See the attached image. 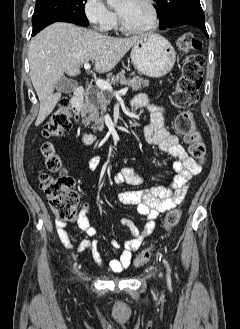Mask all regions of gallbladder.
I'll return each mask as SVG.
<instances>
[{"label": "gallbladder", "mask_w": 240, "mask_h": 329, "mask_svg": "<svg viewBox=\"0 0 240 329\" xmlns=\"http://www.w3.org/2000/svg\"><path fill=\"white\" fill-rule=\"evenodd\" d=\"M78 83L75 80L61 78L55 85V89L61 93H71L76 90Z\"/></svg>", "instance_id": "gallbladder-1"}]
</instances>
